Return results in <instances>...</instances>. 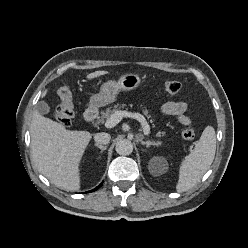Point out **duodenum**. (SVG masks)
<instances>
[{"instance_id": "1", "label": "duodenum", "mask_w": 248, "mask_h": 248, "mask_svg": "<svg viewBox=\"0 0 248 248\" xmlns=\"http://www.w3.org/2000/svg\"><path fill=\"white\" fill-rule=\"evenodd\" d=\"M97 117H98V111L94 107L88 108L84 113V120L87 123L94 122L97 119Z\"/></svg>"}]
</instances>
